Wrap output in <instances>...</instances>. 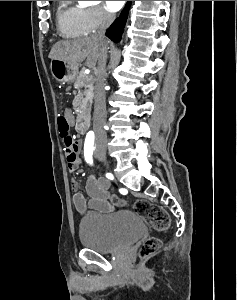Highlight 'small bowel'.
Returning a JSON list of instances; mask_svg holds the SVG:
<instances>
[{"instance_id":"obj_1","label":"small bowel","mask_w":237,"mask_h":300,"mask_svg":"<svg viewBox=\"0 0 237 300\" xmlns=\"http://www.w3.org/2000/svg\"><path fill=\"white\" fill-rule=\"evenodd\" d=\"M64 117L71 126L74 122L72 113L65 110ZM68 169L75 172L81 165L80 145L77 143L73 148L65 151ZM74 194L72 197L73 204L80 214H85L88 210L98 212H111L114 209L112 197L109 194L110 182L103 176L98 177L91 175L86 182V198L83 192L79 191V185L76 181L72 182Z\"/></svg>"}]
</instances>
